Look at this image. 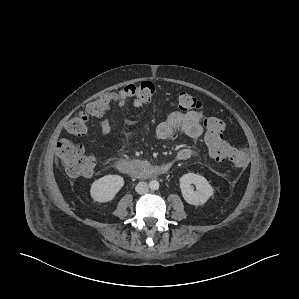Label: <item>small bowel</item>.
<instances>
[{
  "mask_svg": "<svg viewBox=\"0 0 299 299\" xmlns=\"http://www.w3.org/2000/svg\"><path fill=\"white\" fill-rule=\"evenodd\" d=\"M109 103L116 104L120 109L124 108L127 101L131 98L124 89L114 91L106 95ZM143 103L138 99H133L132 107L139 108ZM203 114L199 111L172 112L168 118L161 122L156 128V135L159 139L165 140L171 138L176 132H182L191 138H199L203 134L201 121ZM99 134L107 137L111 132V119L105 116L99 123ZM193 155L192 149L184 147L176 155L177 160L186 161ZM173 162L161 164L162 167L169 169Z\"/></svg>",
  "mask_w": 299,
  "mask_h": 299,
  "instance_id": "obj_1",
  "label": "small bowel"
}]
</instances>
